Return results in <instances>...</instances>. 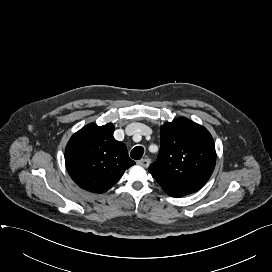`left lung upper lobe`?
Listing matches in <instances>:
<instances>
[{"instance_id":"left-lung-upper-lobe-1","label":"left lung upper lobe","mask_w":272,"mask_h":272,"mask_svg":"<svg viewBox=\"0 0 272 272\" xmlns=\"http://www.w3.org/2000/svg\"><path fill=\"white\" fill-rule=\"evenodd\" d=\"M215 162V145L209 131L181 117L161 126L160 152L148 170L168 195L179 198L202 188Z\"/></svg>"}]
</instances>
